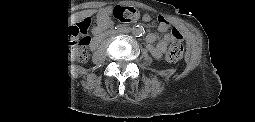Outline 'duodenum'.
Segmentation results:
<instances>
[{"mask_svg":"<svg viewBox=\"0 0 255 122\" xmlns=\"http://www.w3.org/2000/svg\"><path fill=\"white\" fill-rule=\"evenodd\" d=\"M100 35H101V33H98V34H97V40L100 38Z\"/></svg>","mask_w":255,"mask_h":122,"instance_id":"obj_1","label":"duodenum"}]
</instances>
